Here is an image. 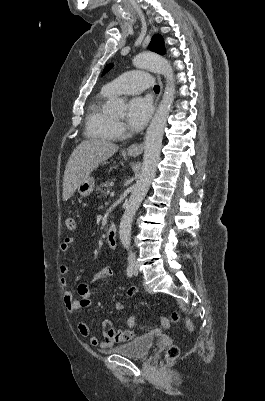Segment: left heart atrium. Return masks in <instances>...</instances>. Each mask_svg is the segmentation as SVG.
<instances>
[{
	"label": "left heart atrium",
	"mask_w": 265,
	"mask_h": 401,
	"mask_svg": "<svg viewBox=\"0 0 265 401\" xmlns=\"http://www.w3.org/2000/svg\"><path fill=\"white\" fill-rule=\"evenodd\" d=\"M152 113L151 103L142 97L132 98L127 107V120L134 130L141 129Z\"/></svg>",
	"instance_id": "1"
}]
</instances>
